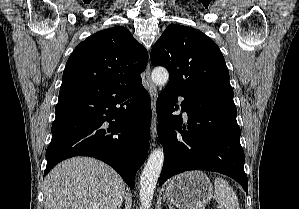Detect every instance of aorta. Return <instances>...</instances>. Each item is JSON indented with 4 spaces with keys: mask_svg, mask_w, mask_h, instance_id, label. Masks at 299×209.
Returning <instances> with one entry per match:
<instances>
[{
    "mask_svg": "<svg viewBox=\"0 0 299 209\" xmlns=\"http://www.w3.org/2000/svg\"><path fill=\"white\" fill-rule=\"evenodd\" d=\"M151 78L155 85L164 86L169 80V73L164 67H156L152 71ZM163 162V150L161 148L153 150L140 177L139 197L142 209H149L151 206Z\"/></svg>",
    "mask_w": 299,
    "mask_h": 209,
    "instance_id": "obj_1",
    "label": "aorta"
}]
</instances>
